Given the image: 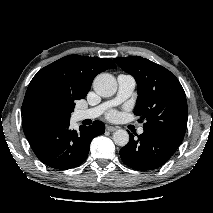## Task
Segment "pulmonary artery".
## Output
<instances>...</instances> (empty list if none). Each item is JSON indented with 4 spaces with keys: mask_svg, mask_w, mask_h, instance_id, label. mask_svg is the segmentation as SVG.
I'll return each mask as SVG.
<instances>
[{
    "mask_svg": "<svg viewBox=\"0 0 213 213\" xmlns=\"http://www.w3.org/2000/svg\"><path fill=\"white\" fill-rule=\"evenodd\" d=\"M117 82H118V91L114 99L93 108L78 110L75 114L76 120L81 121L85 119L97 118L108 108L120 104L124 100L128 99L135 89L136 86L135 79L131 75L120 74L117 77ZM143 132H144L143 127H140L138 129V133L142 134Z\"/></svg>",
    "mask_w": 213,
    "mask_h": 213,
    "instance_id": "pulmonary-artery-1",
    "label": "pulmonary artery"
}]
</instances>
